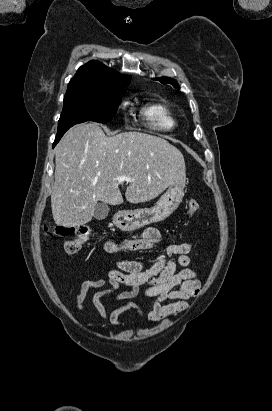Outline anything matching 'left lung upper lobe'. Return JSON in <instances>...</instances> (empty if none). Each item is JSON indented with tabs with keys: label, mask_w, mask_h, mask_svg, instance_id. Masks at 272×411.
I'll use <instances>...</instances> for the list:
<instances>
[{
	"label": "left lung upper lobe",
	"mask_w": 272,
	"mask_h": 411,
	"mask_svg": "<svg viewBox=\"0 0 272 411\" xmlns=\"http://www.w3.org/2000/svg\"><path fill=\"white\" fill-rule=\"evenodd\" d=\"M153 80H158V81H160L162 84H172L175 88H177V89H179L180 87H179V85L176 83V81H174L173 79H171V78H168V77H160V78H155V79H153Z\"/></svg>",
	"instance_id": "obj_1"
}]
</instances>
